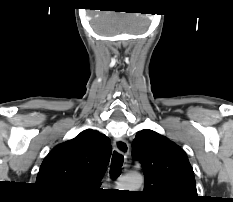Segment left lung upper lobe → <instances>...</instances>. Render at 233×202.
<instances>
[{"mask_svg": "<svg viewBox=\"0 0 233 202\" xmlns=\"http://www.w3.org/2000/svg\"><path fill=\"white\" fill-rule=\"evenodd\" d=\"M132 155L145 175L143 194L149 202H196L193 169L184 151L166 137L144 129L137 133Z\"/></svg>", "mask_w": 233, "mask_h": 202, "instance_id": "5c2ea615", "label": "left lung upper lobe"}]
</instances>
